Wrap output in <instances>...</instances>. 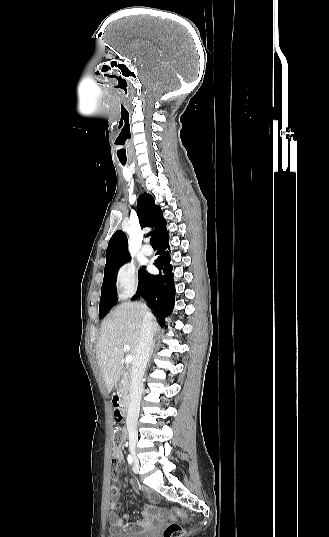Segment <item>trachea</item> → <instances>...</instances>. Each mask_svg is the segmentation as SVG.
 Wrapping results in <instances>:
<instances>
[{
  "mask_svg": "<svg viewBox=\"0 0 329 537\" xmlns=\"http://www.w3.org/2000/svg\"><path fill=\"white\" fill-rule=\"evenodd\" d=\"M124 165V164H123ZM150 244L152 247H157V243H156V237L152 236L150 238Z\"/></svg>",
  "mask_w": 329,
  "mask_h": 537,
  "instance_id": "obj_1",
  "label": "trachea"
}]
</instances>
